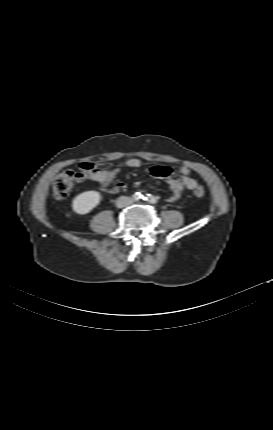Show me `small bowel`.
Here are the masks:
<instances>
[{
  "instance_id": "small-bowel-1",
  "label": "small bowel",
  "mask_w": 273,
  "mask_h": 430,
  "mask_svg": "<svg viewBox=\"0 0 273 430\" xmlns=\"http://www.w3.org/2000/svg\"><path fill=\"white\" fill-rule=\"evenodd\" d=\"M123 165L128 168H139L142 166V161L138 158H130ZM79 169L84 174V178L98 183L100 190L104 193L116 194L125 188L123 182L110 185L120 171L117 167L104 169L103 164L100 162H82L79 164ZM179 172L182 175L180 180L171 177L172 170L167 166H156L150 170L151 175L163 178L169 184L171 189V194L168 197L169 202L179 200L185 189L194 190L198 186L196 179L189 176L190 170L187 166H181Z\"/></svg>"
}]
</instances>
